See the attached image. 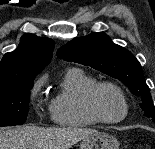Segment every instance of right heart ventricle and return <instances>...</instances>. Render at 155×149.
<instances>
[{
	"label": "right heart ventricle",
	"mask_w": 155,
	"mask_h": 149,
	"mask_svg": "<svg viewBox=\"0 0 155 149\" xmlns=\"http://www.w3.org/2000/svg\"><path fill=\"white\" fill-rule=\"evenodd\" d=\"M97 80L79 68L66 71L60 90L52 98L50 113L53 121L63 127H89L98 121L86 108L85 95Z\"/></svg>",
	"instance_id": "obj_1"
}]
</instances>
